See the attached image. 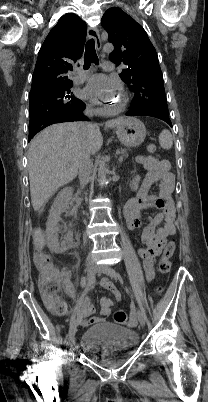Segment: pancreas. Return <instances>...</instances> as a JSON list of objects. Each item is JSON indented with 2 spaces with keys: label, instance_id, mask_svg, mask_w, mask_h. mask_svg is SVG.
<instances>
[{
  "label": "pancreas",
  "instance_id": "pancreas-1",
  "mask_svg": "<svg viewBox=\"0 0 208 402\" xmlns=\"http://www.w3.org/2000/svg\"><path fill=\"white\" fill-rule=\"evenodd\" d=\"M119 154H122L123 158V156H127V150H120Z\"/></svg>",
  "mask_w": 208,
  "mask_h": 402
}]
</instances>
